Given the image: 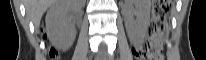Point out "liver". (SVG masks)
<instances>
[{
	"instance_id": "6515ba94",
	"label": "liver",
	"mask_w": 206,
	"mask_h": 60,
	"mask_svg": "<svg viewBox=\"0 0 206 60\" xmlns=\"http://www.w3.org/2000/svg\"><path fill=\"white\" fill-rule=\"evenodd\" d=\"M63 3H65V0H25V8L27 16L31 19L34 26L39 28L40 20L48 7Z\"/></svg>"
}]
</instances>
